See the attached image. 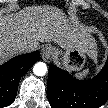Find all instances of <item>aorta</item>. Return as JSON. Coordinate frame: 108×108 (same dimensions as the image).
<instances>
[{
  "label": "aorta",
  "mask_w": 108,
  "mask_h": 108,
  "mask_svg": "<svg viewBox=\"0 0 108 108\" xmlns=\"http://www.w3.org/2000/svg\"><path fill=\"white\" fill-rule=\"evenodd\" d=\"M33 72L36 76H44L47 72V66L43 62H38L33 66Z\"/></svg>",
  "instance_id": "obj_1"
}]
</instances>
